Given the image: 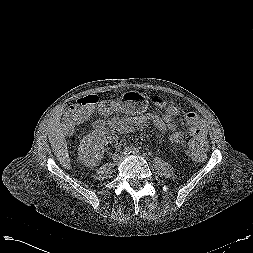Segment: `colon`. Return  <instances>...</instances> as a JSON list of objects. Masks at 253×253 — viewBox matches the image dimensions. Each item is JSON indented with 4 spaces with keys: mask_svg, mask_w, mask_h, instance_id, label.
Here are the masks:
<instances>
[{
    "mask_svg": "<svg viewBox=\"0 0 253 253\" xmlns=\"http://www.w3.org/2000/svg\"><path fill=\"white\" fill-rule=\"evenodd\" d=\"M97 103V96L88 95L77 99L76 102L67 106L63 115L65 128L69 131L74 130L79 123L92 115ZM155 103L163 104V101L155 99ZM187 121L192 133V139L188 146L189 154L193 159L201 160L205 157L209 147L205 123L194 113L187 115Z\"/></svg>",
    "mask_w": 253,
    "mask_h": 253,
    "instance_id": "colon-1",
    "label": "colon"
}]
</instances>
